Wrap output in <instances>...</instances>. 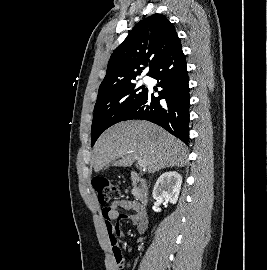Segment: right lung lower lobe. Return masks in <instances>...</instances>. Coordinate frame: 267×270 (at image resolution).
<instances>
[{
    "label": "right lung lower lobe",
    "mask_w": 267,
    "mask_h": 270,
    "mask_svg": "<svg viewBox=\"0 0 267 270\" xmlns=\"http://www.w3.org/2000/svg\"><path fill=\"white\" fill-rule=\"evenodd\" d=\"M163 89L158 97L147 91L124 120L143 119L166 129L186 144L189 141V86L181 43L159 63L151 75Z\"/></svg>",
    "instance_id": "obj_1"
}]
</instances>
